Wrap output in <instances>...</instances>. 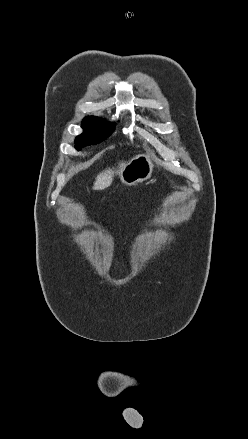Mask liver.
I'll return each instance as SVG.
<instances>
[{
    "label": "liver",
    "mask_w": 248,
    "mask_h": 439,
    "mask_svg": "<svg viewBox=\"0 0 248 439\" xmlns=\"http://www.w3.org/2000/svg\"><path fill=\"white\" fill-rule=\"evenodd\" d=\"M125 166V163L122 162L119 164V168L117 170H112V169H106L103 172H101L99 175H97L96 180L94 182V186L93 189L95 190H102L105 189L106 187L110 186L112 181H113V177L116 174L121 173L123 167Z\"/></svg>",
    "instance_id": "1"
}]
</instances>
